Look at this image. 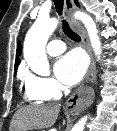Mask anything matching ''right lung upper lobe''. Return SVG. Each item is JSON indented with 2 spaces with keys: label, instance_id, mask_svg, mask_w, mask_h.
I'll return each instance as SVG.
<instances>
[{
  "label": "right lung upper lobe",
  "instance_id": "1",
  "mask_svg": "<svg viewBox=\"0 0 117 131\" xmlns=\"http://www.w3.org/2000/svg\"><path fill=\"white\" fill-rule=\"evenodd\" d=\"M16 54H17V57H16V61H15V70L17 69V67L20 63V59H19V56H21V44H20V42L17 44Z\"/></svg>",
  "mask_w": 117,
  "mask_h": 131
}]
</instances>
